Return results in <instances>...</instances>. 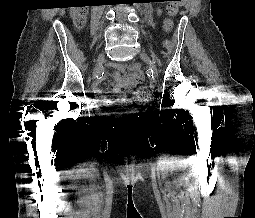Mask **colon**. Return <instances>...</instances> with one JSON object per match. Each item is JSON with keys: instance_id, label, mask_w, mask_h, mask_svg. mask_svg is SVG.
<instances>
[{"instance_id": "colon-1", "label": "colon", "mask_w": 255, "mask_h": 218, "mask_svg": "<svg viewBox=\"0 0 255 218\" xmlns=\"http://www.w3.org/2000/svg\"><path fill=\"white\" fill-rule=\"evenodd\" d=\"M183 0H172V4L168 7V12L171 16H174L178 10L179 7L182 5ZM73 17V22L76 27H81L83 26L85 22V11L83 8H78L73 11L72 14ZM171 25L170 21L167 22V26L169 27ZM142 95H146L147 91L143 89L141 91Z\"/></svg>"}]
</instances>
